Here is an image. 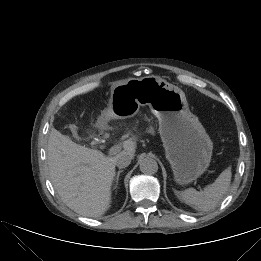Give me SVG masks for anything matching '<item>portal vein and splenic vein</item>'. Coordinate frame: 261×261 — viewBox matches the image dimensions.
I'll return each mask as SVG.
<instances>
[{"instance_id":"portal-vein-and-splenic-vein-1","label":"portal vein and splenic vein","mask_w":261,"mask_h":261,"mask_svg":"<svg viewBox=\"0 0 261 261\" xmlns=\"http://www.w3.org/2000/svg\"><path fill=\"white\" fill-rule=\"evenodd\" d=\"M121 147L116 145V146H113L109 149L108 151V155L109 156H113V155H116L119 151H120Z\"/></svg>"}]
</instances>
